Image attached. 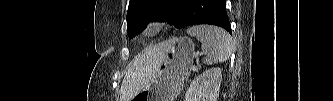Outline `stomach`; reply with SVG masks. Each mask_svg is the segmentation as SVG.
Here are the masks:
<instances>
[{"label":"stomach","instance_id":"1","mask_svg":"<svg viewBox=\"0 0 333 101\" xmlns=\"http://www.w3.org/2000/svg\"><path fill=\"white\" fill-rule=\"evenodd\" d=\"M167 42L164 58L150 83L131 101H174L181 93L195 56V45L188 37Z\"/></svg>","mask_w":333,"mask_h":101}]
</instances>
